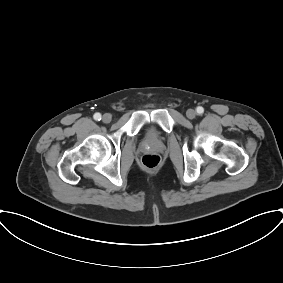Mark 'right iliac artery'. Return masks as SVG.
Returning <instances> with one entry per match:
<instances>
[{
  "label": "right iliac artery",
  "mask_w": 283,
  "mask_h": 283,
  "mask_svg": "<svg viewBox=\"0 0 283 283\" xmlns=\"http://www.w3.org/2000/svg\"><path fill=\"white\" fill-rule=\"evenodd\" d=\"M93 117H94V119L96 121H100L101 120V114L100 113H95Z\"/></svg>",
  "instance_id": "obj_1"
}]
</instances>
